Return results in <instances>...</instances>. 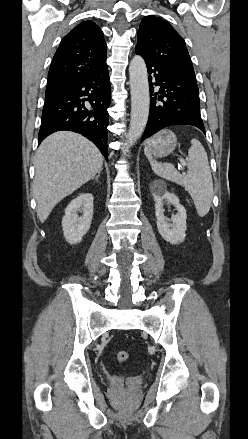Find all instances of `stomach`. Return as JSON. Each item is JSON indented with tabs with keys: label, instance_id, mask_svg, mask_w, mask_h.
I'll list each match as a JSON object with an SVG mask.
<instances>
[{
	"label": "stomach",
	"instance_id": "stomach-1",
	"mask_svg": "<svg viewBox=\"0 0 248 439\" xmlns=\"http://www.w3.org/2000/svg\"><path fill=\"white\" fill-rule=\"evenodd\" d=\"M176 144V135L170 130H162L147 141L146 147L151 155L165 157L173 152Z\"/></svg>",
	"mask_w": 248,
	"mask_h": 439
}]
</instances>
